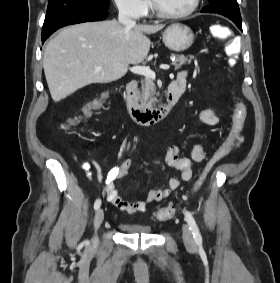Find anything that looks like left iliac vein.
<instances>
[{"label": "left iliac vein", "instance_id": "4c4485c4", "mask_svg": "<svg viewBox=\"0 0 280 283\" xmlns=\"http://www.w3.org/2000/svg\"><path fill=\"white\" fill-rule=\"evenodd\" d=\"M182 233H183V241L185 245L189 248L195 247V240L192 235V232L187 224H184L182 227Z\"/></svg>", "mask_w": 280, "mask_h": 283}]
</instances>
